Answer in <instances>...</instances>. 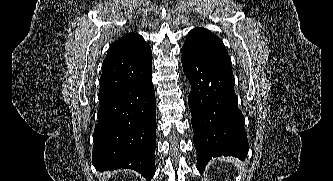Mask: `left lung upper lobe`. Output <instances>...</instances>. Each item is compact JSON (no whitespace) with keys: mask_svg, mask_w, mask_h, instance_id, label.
Wrapping results in <instances>:
<instances>
[{"mask_svg":"<svg viewBox=\"0 0 333 181\" xmlns=\"http://www.w3.org/2000/svg\"><path fill=\"white\" fill-rule=\"evenodd\" d=\"M182 49L232 72L231 59L223 42L207 29L194 28L191 30Z\"/></svg>","mask_w":333,"mask_h":181,"instance_id":"5c2ea615","label":"left lung upper lobe"}]
</instances>
